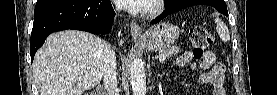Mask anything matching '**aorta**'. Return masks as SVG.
I'll return each mask as SVG.
<instances>
[{
  "instance_id": "aorta-1",
  "label": "aorta",
  "mask_w": 277,
  "mask_h": 95,
  "mask_svg": "<svg viewBox=\"0 0 277 95\" xmlns=\"http://www.w3.org/2000/svg\"><path fill=\"white\" fill-rule=\"evenodd\" d=\"M130 84L133 95H146V76L141 60L134 58L130 64Z\"/></svg>"
}]
</instances>
